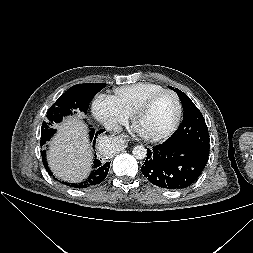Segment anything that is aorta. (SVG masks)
Returning a JSON list of instances; mask_svg holds the SVG:
<instances>
[{
  "label": "aorta",
  "mask_w": 253,
  "mask_h": 253,
  "mask_svg": "<svg viewBox=\"0 0 253 253\" xmlns=\"http://www.w3.org/2000/svg\"><path fill=\"white\" fill-rule=\"evenodd\" d=\"M133 156L136 158V159H144L146 156H147V150L144 146H141V145H137L133 148Z\"/></svg>",
  "instance_id": "762f6f07"
}]
</instances>
